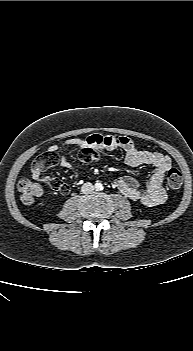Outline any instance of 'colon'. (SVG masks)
I'll return each instance as SVG.
<instances>
[{"mask_svg":"<svg viewBox=\"0 0 193 351\" xmlns=\"http://www.w3.org/2000/svg\"><path fill=\"white\" fill-rule=\"evenodd\" d=\"M78 159L81 162L89 163L98 159V153L96 149H90L88 146L82 148L78 153ZM58 162L57 152L47 151L39 155L33 163L32 170L42 172L43 170L56 165ZM167 184L171 189H178L182 185V174L177 168H170L167 173ZM50 186L60 193L67 194L69 187L58 179H53L50 182ZM18 191L21 200L25 204H33L42 194V187L40 184L27 179L22 178L18 182Z\"/></svg>","mask_w":193,"mask_h":351,"instance_id":"5ec220e1","label":"colon"}]
</instances>
